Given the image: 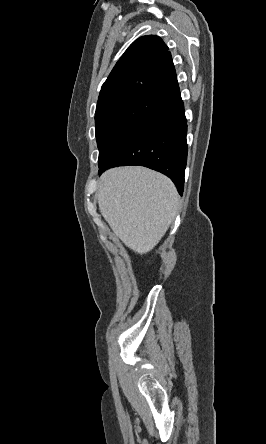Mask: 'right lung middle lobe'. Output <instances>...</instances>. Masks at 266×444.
I'll return each instance as SVG.
<instances>
[{"label":"right lung middle lobe","instance_id":"right-lung-middle-lobe-1","mask_svg":"<svg viewBox=\"0 0 266 444\" xmlns=\"http://www.w3.org/2000/svg\"><path fill=\"white\" fill-rule=\"evenodd\" d=\"M165 103L156 96L131 93L97 105L95 112L98 163H102Z\"/></svg>","mask_w":266,"mask_h":444}]
</instances>
